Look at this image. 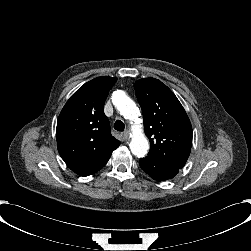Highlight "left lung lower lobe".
<instances>
[{"label":"left lung lower lobe","instance_id":"left-lung-lower-lobe-1","mask_svg":"<svg viewBox=\"0 0 251 251\" xmlns=\"http://www.w3.org/2000/svg\"><path fill=\"white\" fill-rule=\"evenodd\" d=\"M140 167L150 177L157 181H165L173 178L180 169L162 164L148 156L140 159Z\"/></svg>","mask_w":251,"mask_h":251}]
</instances>
